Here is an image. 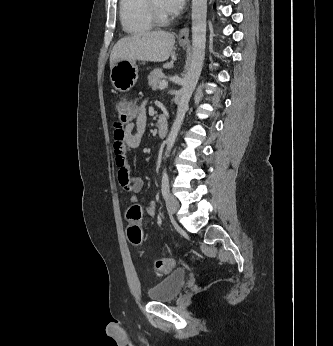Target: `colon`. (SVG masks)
I'll return each mask as SVG.
<instances>
[{
  "instance_id": "1",
  "label": "colon",
  "mask_w": 333,
  "mask_h": 346,
  "mask_svg": "<svg viewBox=\"0 0 333 346\" xmlns=\"http://www.w3.org/2000/svg\"><path fill=\"white\" fill-rule=\"evenodd\" d=\"M118 117L122 122H129L138 115L136 105L125 97H120L117 101ZM142 217L141 207L138 204L131 205L126 212L128 222L127 237L133 246H140L143 242V232L139 225ZM175 266L171 258L158 259L154 263L155 272L159 276L169 274Z\"/></svg>"
}]
</instances>
